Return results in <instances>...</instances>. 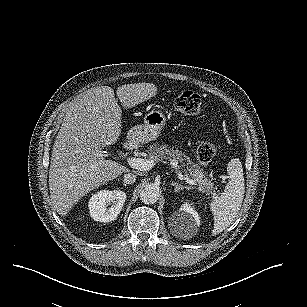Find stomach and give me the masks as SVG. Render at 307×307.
I'll list each match as a JSON object with an SVG mask.
<instances>
[{
  "label": "stomach",
  "instance_id": "1",
  "mask_svg": "<svg viewBox=\"0 0 307 307\" xmlns=\"http://www.w3.org/2000/svg\"><path fill=\"white\" fill-rule=\"evenodd\" d=\"M165 122L160 111H151L145 116L144 124L136 125L127 132L126 140L134 144H145L156 139Z\"/></svg>",
  "mask_w": 307,
  "mask_h": 307
}]
</instances>
